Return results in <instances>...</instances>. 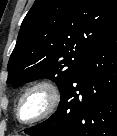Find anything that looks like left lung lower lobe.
Instances as JSON below:
<instances>
[{
  "label": "left lung lower lobe",
  "mask_w": 117,
  "mask_h": 136,
  "mask_svg": "<svg viewBox=\"0 0 117 136\" xmlns=\"http://www.w3.org/2000/svg\"><path fill=\"white\" fill-rule=\"evenodd\" d=\"M31 136H117V23L61 91L57 111Z\"/></svg>",
  "instance_id": "0a47b994"
}]
</instances>
